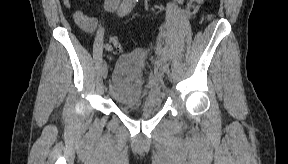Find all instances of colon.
Returning a JSON list of instances; mask_svg holds the SVG:
<instances>
[{
	"instance_id": "colon-1",
	"label": "colon",
	"mask_w": 288,
	"mask_h": 164,
	"mask_svg": "<svg viewBox=\"0 0 288 164\" xmlns=\"http://www.w3.org/2000/svg\"><path fill=\"white\" fill-rule=\"evenodd\" d=\"M90 19H92V18L90 17ZM92 27H93V24H89L87 26V29H91ZM108 41L117 48V49H114L115 55H118L119 54L118 52H122L121 43L117 37L109 35Z\"/></svg>"
}]
</instances>
